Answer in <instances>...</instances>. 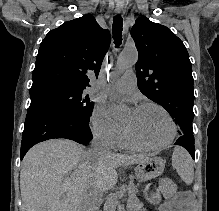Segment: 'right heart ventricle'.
Segmentation results:
<instances>
[{
  "label": "right heart ventricle",
  "mask_w": 219,
  "mask_h": 211,
  "mask_svg": "<svg viewBox=\"0 0 219 211\" xmlns=\"http://www.w3.org/2000/svg\"><path fill=\"white\" fill-rule=\"evenodd\" d=\"M119 144L124 147V148H129V149H135L136 146H134L124 135V133L121 136Z\"/></svg>",
  "instance_id": "obj_1"
}]
</instances>
